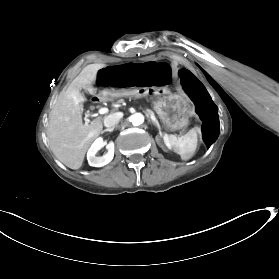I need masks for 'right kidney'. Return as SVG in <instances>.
I'll return each instance as SVG.
<instances>
[{
  "label": "right kidney",
  "mask_w": 279,
  "mask_h": 279,
  "mask_svg": "<svg viewBox=\"0 0 279 279\" xmlns=\"http://www.w3.org/2000/svg\"><path fill=\"white\" fill-rule=\"evenodd\" d=\"M106 145V149L108 152L100 157L96 156V153L104 146ZM114 157V143L109 142L108 144L104 143L103 139L101 137L97 138L93 144L91 145L90 149L87 152V160L90 166L93 167H102L109 162L112 161Z\"/></svg>",
  "instance_id": "ca27d5eb"
}]
</instances>
